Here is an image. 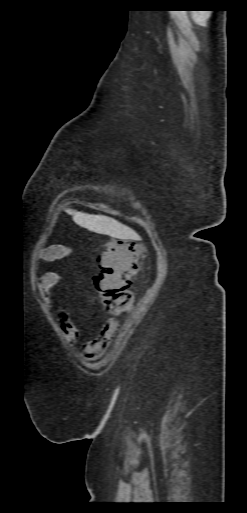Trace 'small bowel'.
<instances>
[{"label":"small bowel","mask_w":247,"mask_h":513,"mask_svg":"<svg viewBox=\"0 0 247 513\" xmlns=\"http://www.w3.org/2000/svg\"><path fill=\"white\" fill-rule=\"evenodd\" d=\"M66 249L64 247H50L41 253L38 260L40 262L55 261L64 257ZM61 284L60 275L56 272L43 273L38 280L37 290L45 307L49 310L52 308L51 292ZM64 337L68 342H75L79 336L76 325L72 322L67 311H63L60 319ZM118 322L109 319L103 326L100 335L87 342L84 345V354L87 358L101 355L106 351L111 342L115 339L118 331Z\"/></svg>","instance_id":"small-bowel-1"}]
</instances>
